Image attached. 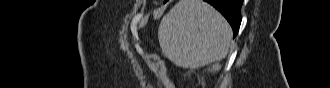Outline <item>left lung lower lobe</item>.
<instances>
[{
	"instance_id": "left-lung-lower-lobe-1",
	"label": "left lung lower lobe",
	"mask_w": 330,
	"mask_h": 88,
	"mask_svg": "<svg viewBox=\"0 0 330 88\" xmlns=\"http://www.w3.org/2000/svg\"><path fill=\"white\" fill-rule=\"evenodd\" d=\"M215 7L227 19L233 29V37L238 33L241 24L240 9L243 0H204ZM167 2V0H165Z\"/></svg>"
}]
</instances>
